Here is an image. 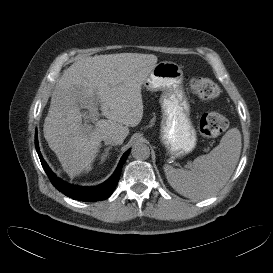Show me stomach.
I'll list each match as a JSON object with an SVG mask.
<instances>
[{
    "label": "stomach",
    "instance_id": "obj_1",
    "mask_svg": "<svg viewBox=\"0 0 273 273\" xmlns=\"http://www.w3.org/2000/svg\"><path fill=\"white\" fill-rule=\"evenodd\" d=\"M182 84V68L171 61L156 64L143 83L146 90L162 92L160 138L169 153L177 157L192 152L197 144V133L190 119V104Z\"/></svg>",
    "mask_w": 273,
    "mask_h": 273
}]
</instances>
